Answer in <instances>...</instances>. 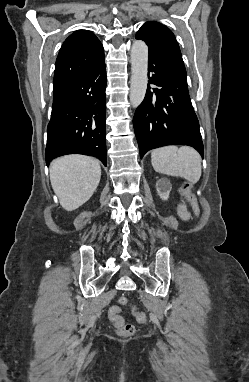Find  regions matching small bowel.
<instances>
[{"mask_svg": "<svg viewBox=\"0 0 249 382\" xmlns=\"http://www.w3.org/2000/svg\"><path fill=\"white\" fill-rule=\"evenodd\" d=\"M178 213H179V215H180V217H181L182 219H188V217H189L188 212H187L186 209L183 208V207H179V209H178Z\"/></svg>", "mask_w": 249, "mask_h": 382, "instance_id": "obj_1", "label": "small bowel"}]
</instances>
